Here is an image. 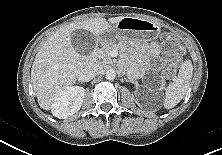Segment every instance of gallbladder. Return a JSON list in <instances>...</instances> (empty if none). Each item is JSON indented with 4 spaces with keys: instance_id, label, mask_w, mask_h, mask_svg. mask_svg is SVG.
<instances>
[{
    "instance_id": "bac80fb5",
    "label": "gallbladder",
    "mask_w": 222,
    "mask_h": 155,
    "mask_svg": "<svg viewBox=\"0 0 222 155\" xmlns=\"http://www.w3.org/2000/svg\"><path fill=\"white\" fill-rule=\"evenodd\" d=\"M71 43L81 55H89L95 47V38L87 30L77 29L71 33Z\"/></svg>"
}]
</instances>
